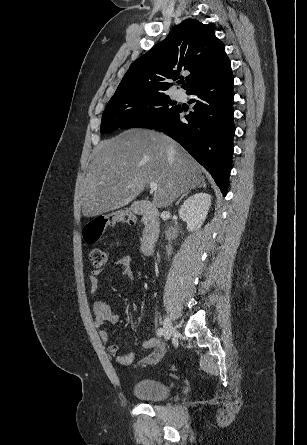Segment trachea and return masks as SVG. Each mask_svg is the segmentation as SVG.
Listing matches in <instances>:
<instances>
[{
  "instance_id": "1",
  "label": "trachea",
  "mask_w": 307,
  "mask_h": 445,
  "mask_svg": "<svg viewBox=\"0 0 307 445\" xmlns=\"http://www.w3.org/2000/svg\"><path fill=\"white\" fill-rule=\"evenodd\" d=\"M180 83H184V81L182 80V81H180Z\"/></svg>"
}]
</instances>
